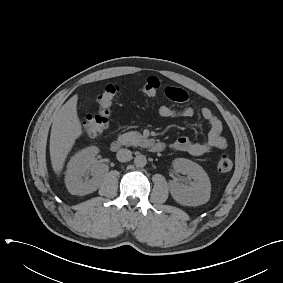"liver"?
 Instances as JSON below:
<instances>
[{
	"label": "liver",
	"mask_w": 283,
	"mask_h": 283,
	"mask_svg": "<svg viewBox=\"0 0 283 283\" xmlns=\"http://www.w3.org/2000/svg\"><path fill=\"white\" fill-rule=\"evenodd\" d=\"M78 96L71 97L54 115L50 135V158L54 172L59 175L68 153L82 134L77 114Z\"/></svg>",
	"instance_id": "obj_1"
}]
</instances>
